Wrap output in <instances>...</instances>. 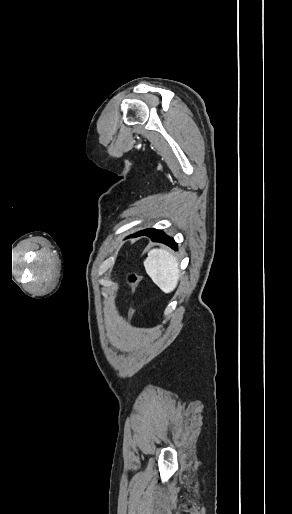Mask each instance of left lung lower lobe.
I'll return each mask as SVG.
<instances>
[{
	"label": "left lung lower lobe",
	"mask_w": 292,
	"mask_h": 514,
	"mask_svg": "<svg viewBox=\"0 0 292 514\" xmlns=\"http://www.w3.org/2000/svg\"><path fill=\"white\" fill-rule=\"evenodd\" d=\"M138 236H148L153 242H160L164 243L171 248L177 250V243L174 241V239L168 235H166L162 230H156L154 228H149L146 230H143L141 232H137L134 235H130L129 237H138Z\"/></svg>",
	"instance_id": "1"
}]
</instances>
